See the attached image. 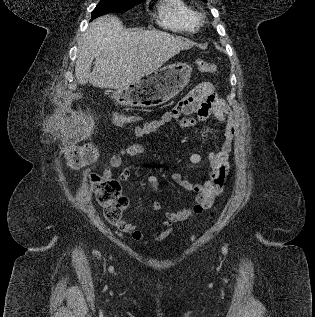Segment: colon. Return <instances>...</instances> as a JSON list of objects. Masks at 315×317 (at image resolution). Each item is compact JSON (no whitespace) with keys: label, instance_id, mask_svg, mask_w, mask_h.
<instances>
[{"label":"colon","instance_id":"1","mask_svg":"<svg viewBox=\"0 0 315 317\" xmlns=\"http://www.w3.org/2000/svg\"><path fill=\"white\" fill-rule=\"evenodd\" d=\"M200 72H214L216 66L202 59L195 62ZM135 116L124 115L116 119V125L136 121ZM70 160L76 165H85L93 162L99 155V150L94 145L74 146L69 149ZM92 186L97 200L103 208V213L107 221L120 227L123 223L122 215L128 206L127 198L121 193L120 183L115 178L94 174L92 175Z\"/></svg>","mask_w":315,"mask_h":317}]
</instances>
